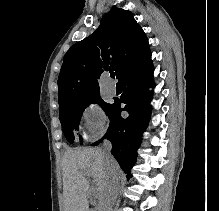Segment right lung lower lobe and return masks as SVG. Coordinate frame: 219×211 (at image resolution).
Returning <instances> with one entry per match:
<instances>
[{"instance_id":"right-lung-lower-lobe-1","label":"right lung lower lobe","mask_w":219,"mask_h":211,"mask_svg":"<svg viewBox=\"0 0 219 211\" xmlns=\"http://www.w3.org/2000/svg\"><path fill=\"white\" fill-rule=\"evenodd\" d=\"M153 70L150 58L142 66L128 72L119 81L123 88L121 98L115 100L108 113L110 126L103 139L111 141V153L122 170L127 173V179L132 177L130 170L136 162L137 149L142 140L141 132L146 129L150 118L149 102L152 91L147 88L154 86ZM122 103L125 106H122ZM122 111L128 112V117H122ZM103 139L94 145H98Z\"/></svg>"}]
</instances>
